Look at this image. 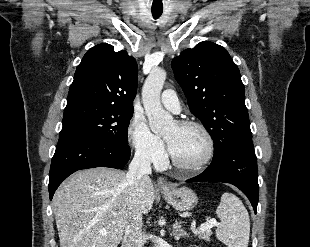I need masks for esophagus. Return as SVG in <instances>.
I'll return each mask as SVG.
<instances>
[{"label": "esophagus", "instance_id": "1", "mask_svg": "<svg viewBox=\"0 0 310 247\" xmlns=\"http://www.w3.org/2000/svg\"><path fill=\"white\" fill-rule=\"evenodd\" d=\"M157 184H158V187H159L161 190H167V189H168V182H167V180L164 179L163 177H159V178H158Z\"/></svg>", "mask_w": 310, "mask_h": 247}]
</instances>
